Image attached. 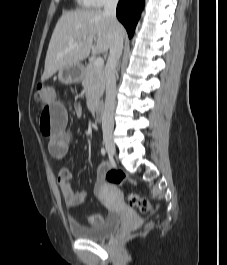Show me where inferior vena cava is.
I'll use <instances>...</instances> for the list:
<instances>
[{
  "label": "inferior vena cava",
  "mask_w": 227,
  "mask_h": 265,
  "mask_svg": "<svg viewBox=\"0 0 227 265\" xmlns=\"http://www.w3.org/2000/svg\"><path fill=\"white\" fill-rule=\"evenodd\" d=\"M119 0H106L104 15L110 18L113 26L112 44L105 69L106 100L102 118L103 132L111 133L114 126V110L116 105V68L123 50V37L120 35L116 18V7Z\"/></svg>",
  "instance_id": "602c4592"
}]
</instances>
